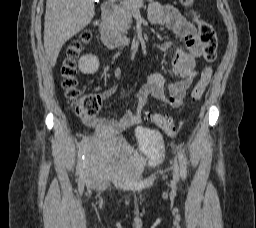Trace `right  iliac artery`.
I'll use <instances>...</instances> for the list:
<instances>
[{
	"mask_svg": "<svg viewBox=\"0 0 256 228\" xmlns=\"http://www.w3.org/2000/svg\"><path fill=\"white\" fill-rule=\"evenodd\" d=\"M81 143H82V145L78 151V163H77L76 171H77V175H79L80 179L82 180L83 179V169L85 166L84 159H85V154H86V140L82 139Z\"/></svg>",
	"mask_w": 256,
	"mask_h": 228,
	"instance_id": "1",
	"label": "right iliac artery"
}]
</instances>
